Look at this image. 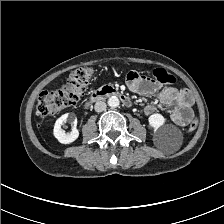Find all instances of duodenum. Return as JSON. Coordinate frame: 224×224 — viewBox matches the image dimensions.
Here are the masks:
<instances>
[{
  "instance_id": "duodenum-1",
  "label": "duodenum",
  "mask_w": 224,
  "mask_h": 224,
  "mask_svg": "<svg viewBox=\"0 0 224 224\" xmlns=\"http://www.w3.org/2000/svg\"><path fill=\"white\" fill-rule=\"evenodd\" d=\"M106 97H117L126 107L131 106V100L123 92L110 86H104L93 92L87 99V104H92Z\"/></svg>"
}]
</instances>
